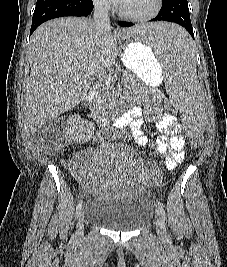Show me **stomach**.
Instances as JSON below:
<instances>
[{
    "mask_svg": "<svg viewBox=\"0 0 227 267\" xmlns=\"http://www.w3.org/2000/svg\"><path fill=\"white\" fill-rule=\"evenodd\" d=\"M121 60L147 86H157L163 79L164 59H156L152 47L144 43H126Z\"/></svg>",
    "mask_w": 227,
    "mask_h": 267,
    "instance_id": "0dacf381",
    "label": "stomach"
}]
</instances>
